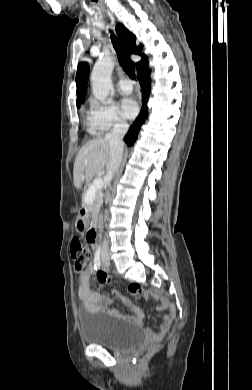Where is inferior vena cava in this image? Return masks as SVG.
Wrapping results in <instances>:
<instances>
[{
    "label": "inferior vena cava",
    "instance_id": "602c4592",
    "mask_svg": "<svg viewBox=\"0 0 252 390\" xmlns=\"http://www.w3.org/2000/svg\"><path fill=\"white\" fill-rule=\"evenodd\" d=\"M128 124L120 123L116 124L109 134L106 135V138L109 142V150H110V158L107 164V173L105 175V180L110 182L113 178L114 173L118 170L121 161H122V153H123V137L128 131ZM102 251H108V242L106 240L103 241Z\"/></svg>",
    "mask_w": 252,
    "mask_h": 390
}]
</instances>
